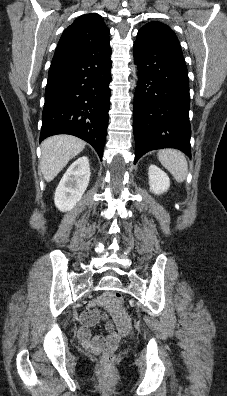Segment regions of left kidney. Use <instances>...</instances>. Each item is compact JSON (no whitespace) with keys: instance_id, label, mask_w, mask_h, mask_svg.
Listing matches in <instances>:
<instances>
[{"instance_id":"1","label":"left kidney","mask_w":227,"mask_h":396,"mask_svg":"<svg viewBox=\"0 0 227 396\" xmlns=\"http://www.w3.org/2000/svg\"><path fill=\"white\" fill-rule=\"evenodd\" d=\"M150 191L154 194H162L170 187L167 174L155 165H150L148 170Z\"/></svg>"}]
</instances>
